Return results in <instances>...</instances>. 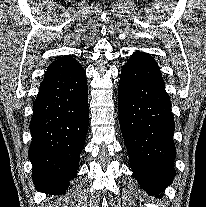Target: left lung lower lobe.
I'll return each instance as SVG.
<instances>
[{
	"mask_svg": "<svg viewBox=\"0 0 206 207\" xmlns=\"http://www.w3.org/2000/svg\"><path fill=\"white\" fill-rule=\"evenodd\" d=\"M118 103L134 177L160 197L175 176V125L160 68L148 53H133L122 68Z\"/></svg>",
	"mask_w": 206,
	"mask_h": 207,
	"instance_id": "0a47b994",
	"label": "left lung lower lobe"
}]
</instances>
